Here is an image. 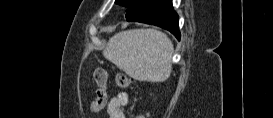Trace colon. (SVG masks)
<instances>
[{
	"instance_id": "obj_1",
	"label": "colon",
	"mask_w": 273,
	"mask_h": 118,
	"mask_svg": "<svg viewBox=\"0 0 273 118\" xmlns=\"http://www.w3.org/2000/svg\"><path fill=\"white\" fill-rule=\"evenodd\" d=\"M107 79V71L104 68L99 67L95 70L94 80L98 88L91 104V109L95 112L104 109L108 103ZM116 83L120 88H127L130 85V79L125 74L119 73L116 75ZM136 118H145V115L140 113L136 115Z\"/></svg>"
}]
</instances>
